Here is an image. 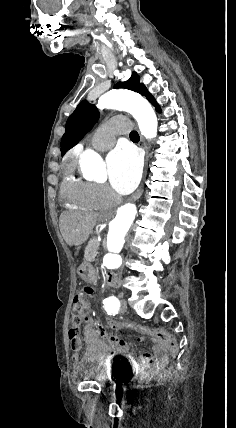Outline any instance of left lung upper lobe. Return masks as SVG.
I'll list each match as a JSON object with an SVG mask.
<instances>
[{"instance_id":"obj_1","label":"left lung upper lobe","mask_w":236,"mask_h":428,"mask_svg":"<svg viewBox=\"0 0 236 428\" xmlns=\"http://www.w3.org/2000/svg\"><path fill=\"white\" fill-rule=\"evenodd\" d=\"M114 88H125L145 96L156 108L159 105L154 97L147 91L144 84L140 83V77L136 72L132 73L129 80L117 83ZM99 117L96 107L86 100L82 101L75 111L69 116L66 123V132L61 139L62 156L74 147L84 135L90 131Z\"/></svg>"}]
</instances>
